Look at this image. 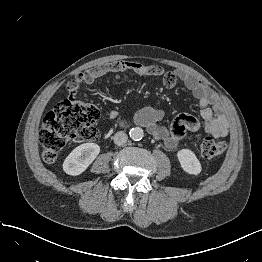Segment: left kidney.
<instances>
[{"mask_svg": "<svg viewBox=\"0 0 262 262\" xmlns=\"http://www.w3.org/2000/svg\"><path fill=\"white\" fill-rule=\"evenodd\" d=\"M177 158L182 169L188 174L198 175L201 170V164L196 155L189 149H181L177 152Z\"/></svg>", "mask_w": 262, "mask_h": 262, "instance_id": "1", "label": "left kidney"}]
</instances>
